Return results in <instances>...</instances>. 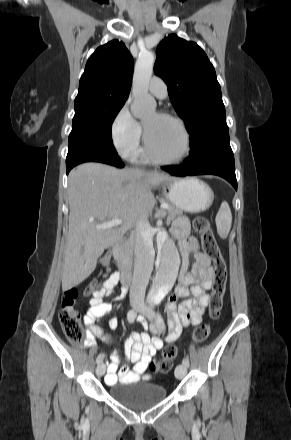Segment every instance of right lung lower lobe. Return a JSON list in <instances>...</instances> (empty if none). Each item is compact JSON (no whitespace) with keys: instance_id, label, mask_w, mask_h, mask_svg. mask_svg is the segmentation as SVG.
<instances>
[{"instance_id":"right-lung-lower-lobe-1","label":"right lung lower lobe","mask_w":291,"mask_h":440,"mask_svg":"<svg viewBox=\"0 0 291 440\" xmlns=\"http://www.w3.org/2000/svg\"><path fill=\"white\" fill-rule=\"evenodd\" d=\"M83 162H101L116 167H123L117 152H111L102 148L75 146L69 149L66 158V173L76 165Z\"/></svg>"}]
</instances>
